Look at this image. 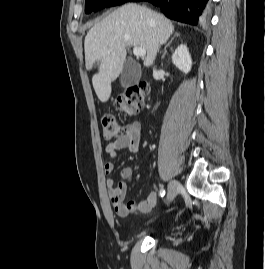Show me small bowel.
<instances>
[{
  "mask_svg": "<svg viewBox=\"0 0 265 269\" xmlns=\"http://www.w3.org/2000/svg\"><path fill=\"white\" fill-rule=\"evenodd\" d=\"M142 135V126L138 121H131L125 126L124 133L113 142L106 145L105 151L111 158H116L119 151L127 150L136 153L139 150ZM113 165L106 163L105 172L111 174ZM133 179V170L131 167H124L120 171L119 180L108 178L106 182L107 192L110 203L118 216L125 217L131 213H148L155 206L157 194L151 192L147 198L140 203L129 201L124 203L127 191V183Z\"/></svg>",
  "mask_w": 265,
  "mask_h": 269,
  "instance_id": "1",
  "label": "small bowel"
}]
</instances>
